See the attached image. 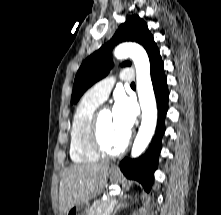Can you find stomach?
Returning <instances> with one entry per match:
<instances>
[{"instance_id": "obj_1", "label": "stomach", "mask_w": 221, "mask_h": 215, "mask_svg": "<svg viewBox=\"0 0 221 215\" xmlns=\"http://www.w3.org/2000/svg\"><path fill=\"white\" fill-rule=\"evenodd\" d=\"M109 179L114 183H119L121 181V173L116 169H110L108 171ZM89 204L80 203L72 208H70L65 215H88Z\"/></svg>"}]
</instances>
